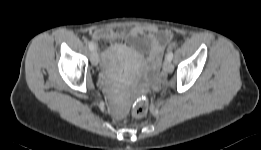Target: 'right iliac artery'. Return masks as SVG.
Segmentation results:
<instances>
[{"instance_id": "82829eb1", "label": "right iliac artery", "mask_w": 261, "mask_h": 150, "mask_svg": "<svg viewBox=\"0 0 261 150\" xmlns=\"http://www.w3.org/2000/svg\"><path fill=\"white\" fill-rule=\"evenodd\" d=\"M88 47H89L90 50H94L95 49L94 44L91 43V42L88 43Z\"/></svg>"}]
</instances>
